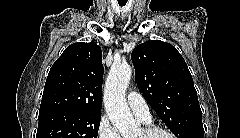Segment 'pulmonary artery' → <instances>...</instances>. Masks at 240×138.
<instances>
[{
  "mask_svg": "<svg viewBox=\"0 0 240 138\" xmlns=\"http://www.w3.org/2000/svg\"><path fill=\"white\" fill-rule=\"evenodd\" d=\"M127 102L132 112L143 121L150 120L151 115L145 99L137 92L132 91L127 95Z\"/></svg>",
  "mask_w": 240,
  "mask_h": 138,
  "instance_id": "obj_1",
  "label": "pulmonary artery"
}]
</instances>
